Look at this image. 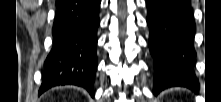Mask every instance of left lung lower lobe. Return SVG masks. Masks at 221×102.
Masks as SVG:
<instances>
[{
  "label": "left lung lower lobe",
  "instance_id": "1",
  "mask_svg": "<svg viewBox=\"0 0 221 102\" xmlns=\"http://www.w3.org/2000/svg\"><path fill=\"white\" fill-rule=\"evenodd\" d=\"M154 94L173 86L197 91L195 21L189 0H146Z\"/></svg>",
  "mask_w": 221,
  "mask_h": 102
}]
</instances>
